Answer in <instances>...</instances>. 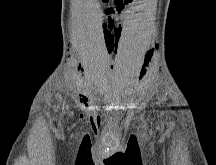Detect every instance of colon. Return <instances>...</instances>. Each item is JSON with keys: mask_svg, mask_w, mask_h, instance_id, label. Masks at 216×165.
Returning <instances> with one entry per match:
<instances>
[{"mask_svg": "<svg viewBox=\"0 0 216 165\" xmlns=\"http://www.w3.org/2000/svg\"><path fill=\"white\" fill-rule=\"evenodd\" d=\"M104 2H108V1H110V0H103ZM114 2L118 5V6H120V5H122L123 3H126L127 2V0H114Z\"/></svg>", "mask_w": 216, "mask_h": 165, "instance_id": "1", "label": "colon"}]
</instances>
